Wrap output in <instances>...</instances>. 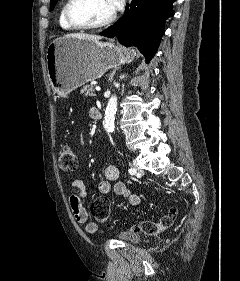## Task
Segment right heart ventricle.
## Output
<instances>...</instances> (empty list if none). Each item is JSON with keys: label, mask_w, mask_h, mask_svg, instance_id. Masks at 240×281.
I'll return each mask as SVG.
<instances>
[{"label": "right heart ventricle", "mask_w": 240, "mask_h": 281, "mask_svg": "<svg viewBox=\"0 0 240 281\" xmlns=\"http://www.w3.org/2000/svg\"><path fill=\"white\" fill-rule=\"evenodd\" d=\"M65 5H66V2L62 5L60 13H59V25L61 26L62 29L71 31V30H74L75 28L70 26L65 19V16H64Z\"/></svg>", "instance_id": "right-heart-ventricle-1"}]
</instances>
